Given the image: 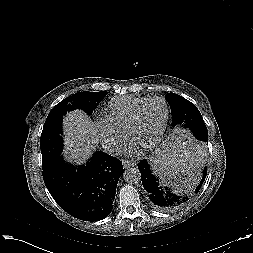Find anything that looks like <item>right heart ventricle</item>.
Instances as JSON below:
<instances>
[{
  "label": "right heart ventricle",
  "mask_w": 253,
  "mask_h": 253,
  "mask_svg": "<svg viewBox=\"0 0 253 253\" xmlns=\"http://www.w3.org/2000/svg\"><path fill=\"white\" fill-rule=\"evenodd\" d=\"M149 96L127 95L113 98L107 107V121L117 131L126 134L130 121L138 106Z\"/></svg>",
  "instance_id": "obj_1"
}]
</instances>
